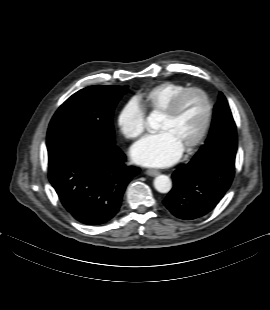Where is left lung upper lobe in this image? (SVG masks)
Listing matches in <instances>:
<instances>
[{"instance_id": "left-lung-upper-lobe-1", "label": "left lung upper lobe", "mask_w": 270, "mask_h": 310, "mask_svg": "<svg viewBox=\"0 0 270 310\" xmlns=\"http://www.w3.org/2000/svg\"><path fill=\"white\" fill-rule=\"evenodd\" d=\"M236 151V125L227 100L220 93L214 108L212 127L206 145L200 148L193 160L219 162L234 166Z\"/></svg>"}]
</instances>
